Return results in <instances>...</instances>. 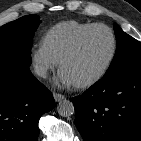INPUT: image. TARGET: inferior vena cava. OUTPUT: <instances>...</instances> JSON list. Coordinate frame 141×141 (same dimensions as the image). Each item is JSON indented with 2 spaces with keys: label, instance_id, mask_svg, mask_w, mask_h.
<instances>
[{
  "label": "inferior vena cava",
  "instance_id": "inferior-vena-cava-1",
  "mask_svg": "<svg viewBox=\"0 0 141 141\" xmlns=\"http://www.w3.org/2000/svg\"><path fill=\"white\" fill-rule=\"evenodd\" d=\"M35 73L38 76L45 78L46 75H47V68L45 66H42V65H36L35 66Z\"/></svg>",
  "mask_w": 141,
  "mask_h": 141
}]
</instances>
